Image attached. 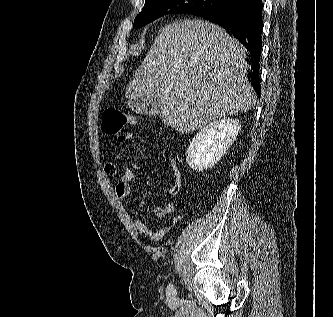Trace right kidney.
<instances>
[{"mask_svg": "<svg viewBox=\"0 0 333 317\" xmlns=\"http://www.w3.org/2000/svg\"><path fill=\"white\" fill-rule=\"evenodd\" d=\"M241 129L236 119L220 118L201 129L186 152L187 164L196 171L214 166L232 145Z\"/></svg>", "mask_w": 333, "mask_h": 317, "instance_id": "1", "label": "right kidney"}]
</instances>
